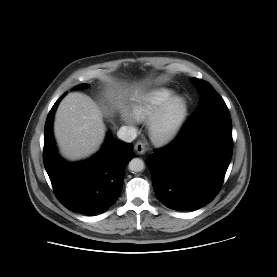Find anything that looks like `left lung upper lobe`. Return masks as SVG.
<instances>
[{"label": "left lung upper lobe", "mask_w": 277, "mask_h": 277, "mask_svg": "<svg viewBox=\"0 0 277 277\" xmlns=\"http://www.w3.org/2000/svg\"><path fill=\"white\" fill-rule=\"evenodd\" d=\"M193 82L201 93V99L191 117L201 114L212 108L226 107V104L222 97L208 82L197 78H193Z\"/></svg>", "instance_id": "obj_1"}]
</instances>
